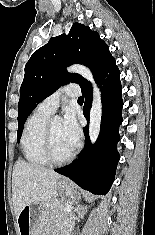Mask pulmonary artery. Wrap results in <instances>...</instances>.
I'll list each match as a JSON object with an SVG mask.
<instances>
[{"label": "pulmonary artery", "mask_w": 155, "mask_h": 235, "mask_svg": "<svg viewBox=\"0 0 155 235\" xmlns=\"http://www.w3.org/2000/svg\"><path fill=\"white\" fill-rule=\"evenodd\" d=\"M80 95V88L75 84H70L64 86L63 88L57 90L47 98H45L39 105L38 109L52 114L56 111L59 106L60 100L64 96L77 97Z\"/></svg>", "instance_id": "obj_1"}]
</instances>
